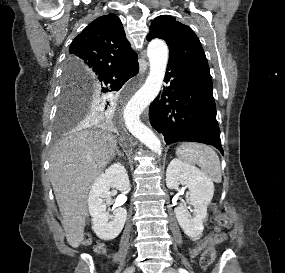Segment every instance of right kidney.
Segmentation results:
<instances>
[{
  "label": "right kidney",
  "mask_w": 285,
  "mask_h": 273,
  "mask_svg": "<svg viewBox=\"0 0 285 273\" xmlns=\"http://www.w3.org/2000/svg\"><path fill=\"white\" fill-rule=\"evenodd\" d=\"M111 186L118 190L129 188L128 174L120 163L112 164L98 176L88 197L92 229L103 240L115 239L122 231L127 217V211L122 207L115 209L113 215L108 214L106 207L112 203L109 192Z\"/></svg>",
  "instance_id": "obj_1"
}]
</instances>
